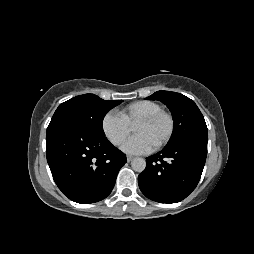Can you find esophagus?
Here are the masks:
<instances>
[{"instance_id": "34e87169", "label": "esophagus", "mask_w": 254, "mask_h": 254, "mask_svg": "<svg viewBox=\"0 0 254 254\" xmlns=\"http://www.w3.org/2000/svg\"><path fill=\"white\" fill-rule=\"evenodd\" d=\"M133 158H134L133 156H129V155H128V156H127V161L130 162V161H132Z\"/></svg>"}]
</instances>
